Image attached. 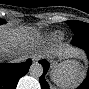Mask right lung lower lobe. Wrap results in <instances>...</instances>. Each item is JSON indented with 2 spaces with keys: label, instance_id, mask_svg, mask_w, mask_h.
<instances>
[{
  "label": "right lung lower lobe",
  "instance_id": "1",
  "mask_svg": "<svg viewBox=\"0 0 89 89\" xmlns=\"http://www.w3.org/2000/svg\"><path fill=\"white\" fill-rule=\"evenodd\" d=\"M32 64L28 59L24 63H5L0 65V85L2 89H15L18 80L24 76Z\"/></svg>",
  "mask_w": 89,
  "mask_h": 89
}]
</instances>
